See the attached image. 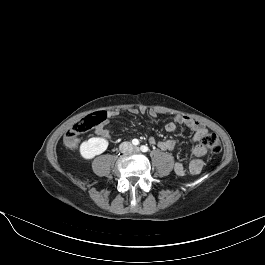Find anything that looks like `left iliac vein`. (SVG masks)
I'll return each instance as SVG.
<instances>
[{
	"label": "left iliac vein",
	"instance_id": "left-iliac-vein-1",
	"mask_svg": "<svg viewBox=\"0 0 265 265\" xmlns=\"http://www.w3.org/2000/svg\"><path fill=\"white\" fill-rule=\"evenodd\" d=\"M134 151L138 152L139 151V148L138 147H135L134 148Z\"/></svg>",
	"mask_w": 265,
	"mask_h": 265
}]
</instances>
